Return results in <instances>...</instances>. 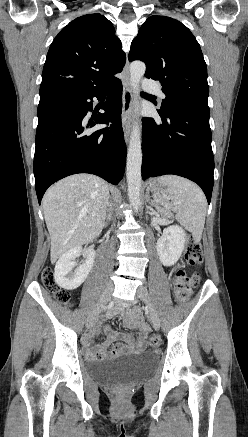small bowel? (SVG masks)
I'll return each mask as SVG.
<instances>
[{
    "mask_svg": "<svg viewBox=\"0 0 248 437\" xmlns=\"http://www.w3.org/2000/svg\"><path fill=\"white\" fill-rule=\"evenodd\" d=\"M116 314L115 310H111L107 313L106 317H112ZM97 328L103 329L107 333V339L104 343L94 345L93 344V337H94V331L89 332L86 334L83 338V344L85 347V354L87 357L91 359H103L105 358L107 354L108 347L115 341L121 340L123 343L116 344L112 350L110 351L109 355L115 356L121 352H139L142 351L144 348V342L142 339H136L132 335L128 334H121L114 332L110 329L108 325L105 324L104 320H101L97 324ZM139 328L141 331V335H144L146 333V328L139 324Z\"/></svg>",
    "mask_w": 248,
    "mask_h": 437,
    "instance_id": "c3829d8e",
    "label": "small bowel"
}]
</instances>
